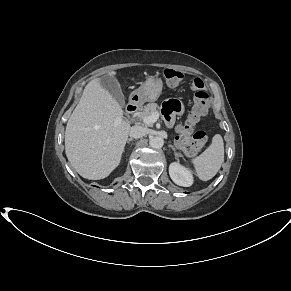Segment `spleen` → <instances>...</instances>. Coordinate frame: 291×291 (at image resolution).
<instances>
[{"label": "spleen", "instance_id": "3e777b00", "mask_svg": "<svg viewBox=\"0 0 291 291\" xmlns=\"http://www.w3.org/2000/svg\"><path fill=\"white\" fill-rule=\"evenodd\" d=\"M224 161V143L221 135L212 138L209 147L198 157L192 159L197 176L202 181L213 178Z\"/></svg>", "mask_w": 291, "mask_h": 291}]
</instances>
